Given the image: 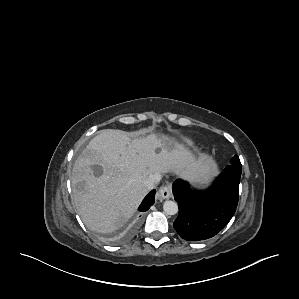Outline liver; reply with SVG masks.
<instances>
[{"label": "liver", "mask_w": 299, "mask_h": 299, "mask_svg": "<svg viewBox=\"0 0 299 299\" xmlns=\"http://www.w3.org/2000/svg\"><path fill=\"white\" fill-rule=\"evenodd\" d=\"M99 167V174L95 169ZM206 155L196 158L174 137L151 133L131 139L124 131H100L76 159L71 175L74 207L87 228L110 233L121 227L147 194L151 174L173 171L206 181L216 171Z\"/></svg>", "instance_id": "1"}]
</instances>
